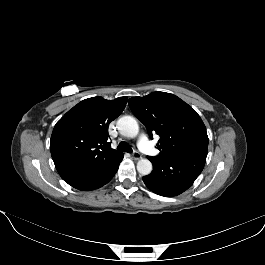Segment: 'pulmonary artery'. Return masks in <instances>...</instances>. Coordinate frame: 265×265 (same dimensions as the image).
Instances as JSON below:
<instances>
[{"mask_svg":"<svg viewBox=\"0 0 265 265\" xmlns=\"http://www.w3.org/2000/svg\"><path fill=\"white\" fill-rule=\"evenodd\" d=\"M139 147L150 156H154L158 151L151 145L150 141L145 135H141L138 139Z\"/></svg>","mask_w":265,"mask_h":265,"instance_id":"pulmonary-artery-1","label":"pulmonary artery"}]
</instances>
